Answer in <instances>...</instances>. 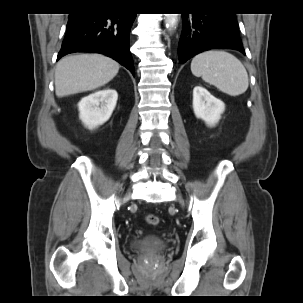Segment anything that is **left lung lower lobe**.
<instances>
[{"mask_svg": "<svg viewBox=\"0 0 303 303\" xmlns=\"http://www.w3.org/2000/svg\"><path fill=\"white\" fill-rule=\"evenodd\" d=\"M182 19L178 45L180 63L210 49H234L245 55L234 13L182 14Z\"/></svg>", "mask_w": 303, "mask_h": 303, "instance_id": "1", "label": "left lung lower lobe"}]
</instances>
